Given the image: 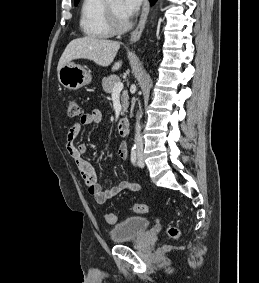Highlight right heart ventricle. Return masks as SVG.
Here are the masks:
<instances>
[{"instance_id":"obj_1","label":"right heart ventricle","mask_w":259,"mask_h":283,"mask_svg":"<svg viewBox=\"0 0 259 283\" xmlns=\"http://www.w3.org/2000/svg\"><path fill=\"white\" fill-rule=\"evenodd\" d=\"M105 4L106 0H83L80 27L87 37L104 39L114 34L108 21Z\"/></svg>"}]
</instances>
